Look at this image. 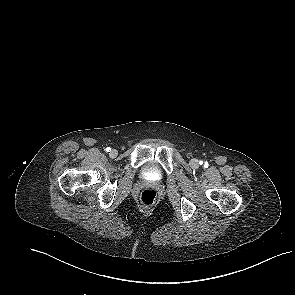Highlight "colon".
Returning <instances> with one entry per match:
<instances>
[{
    "label": "colon",
    "instance_id": "colon-1",
    "mask_svg": "<svg viewBox=\"0 0 295 295\" xmlns=\"http://www.w3.org/2000/svg\"><path fill=\"white\" fill-rule=\"evenodd\" d=\"M157 194L152 189H145L140 193V201L145 206H151L156 201Z\"/></svg>",
    "mask_w": 295,
    "mask_h": 295
}]
</instances>
